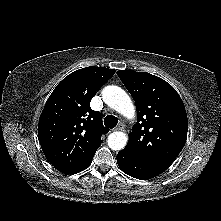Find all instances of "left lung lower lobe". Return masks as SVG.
<instances>
[{
	"mask_svg": "<svg viewBox=\"0 0 221 221\" xmlns=\"http://www.w3.org/2000/svg\"><path fill=\"white\" fill-rule=\"evenodd\" d=\"M117 163L126 174L140 180L153 178L165 170L135 156L125 149L117 154Z\"/></svg>",
	"mask_w": 221,
	"mask_h": 221,
	"instance_id": "obj_1",
	"label": "left lung lower lobe"
}]
</instances>
